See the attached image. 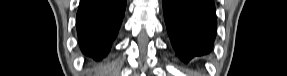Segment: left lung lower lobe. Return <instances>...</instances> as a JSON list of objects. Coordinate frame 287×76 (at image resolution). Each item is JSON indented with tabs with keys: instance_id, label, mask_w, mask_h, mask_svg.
Masks as SVG:
<instances>
[{
	"instance_id": "obj_1",
	"label": "left lung lower lobe",
	"mask_w": 287,
	"mask_h": 76,
	"mask_svg": "<svg viewBox=\"0 0 287 76\" xmlns=\"http://www.w3.org/2000/svg\"><path fill=\"white\" fill-rule=\"evenodd\" d=\"M167 31L176 55L198 62L213 47L217 20L213 0H163Z\"/></svg>"
}]
</instances>
